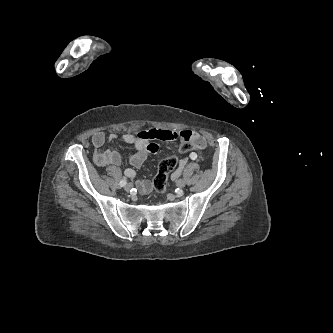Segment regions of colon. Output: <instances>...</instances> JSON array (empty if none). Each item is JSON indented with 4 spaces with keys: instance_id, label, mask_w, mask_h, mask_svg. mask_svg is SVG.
<instances>
[{
    "instance_id": "1",
    "label": "colon",
    "mask_w": 333,
    "mask_h": 333,
    "mask_svg": "<svg viewBox=\"0 0 333 333\" xmlns=\"http://www.w3.org/2000/svg\"><path fill=\"white\" fill-rule=\"evenodd\" d=\"M193 148V143L184 139L179 145V153H187ZM177 156L169 155L162 159L158 165V171L154 178L153 185L158 193H163L167 187L168 174L175 168Z\"/></svg>"
}]
</instances>
